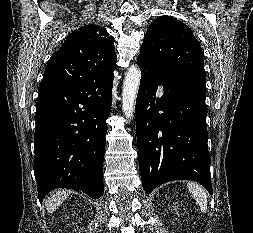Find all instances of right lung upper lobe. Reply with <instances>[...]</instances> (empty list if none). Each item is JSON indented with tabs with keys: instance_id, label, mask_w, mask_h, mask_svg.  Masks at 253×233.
I'll list each match as a JSON object with an SVG mask.
<instances>
[{
	"instance_id": "cb5924a9",
	"label": "right lung upper lobe",
	"mask_w": 253,
	"mask_h": 233,
	"mask_svg": "<svg viewBox=\"0 0 253 233\" xmlns=\"http://www.w3.org/2000/svg\"><path fill=\"white\" fill-rule=\"evenodd\" d=\"M113 40L98 25H85L71 32L49 60L39 91L47 87L83 81L115 70Z\"/></svg>"
}]
</instances>
